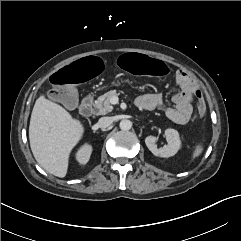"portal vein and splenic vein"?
Returning a JSON list of instances; mask_svg holds the SVG:
<instances>
[{"label": "portal vein and splenic vein", "mask_w": 241, "mask_h": 241, "mask_svg": "<svg viewBox=\"0 0 241 241\" xmlns=\"http://www.w3.org/2000/svg\"><path fill=\"white\" fill-rule=\"evenodd\" d=\"M110 102H111V104H117V103H118V97H117V96H113V97L110 99Z\"/></svg>", "instance_id": "18ae733b"}]
</instances>
